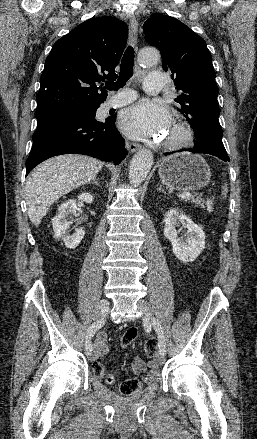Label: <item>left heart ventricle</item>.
<instances>
[{
    "instance_id": "1",
    "label": "left heart ventricle",
    "mask_w": 257,
    "mask_h": 439,
    "mask_svg": "<svg viewBox=\"0 0 257 439\" xmlns=\"http://www.w3.org/2000/svg\"><path fill=\"white\" fill-rule=\"evenodd\" d=\"M178 137V133L176 131H174L172 128L169 130L165 140L166 141H171L174 140Z\"/></svg>"
}]
</instances>
